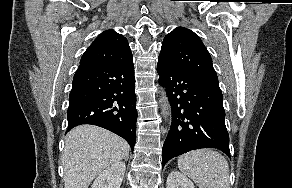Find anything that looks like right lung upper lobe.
I'll list each match as a JSON object with an SVG mask.
<instances>
[{
	"instance_id": "right-lung-upper-lobe-1",
	"label": "right lung upper lobe",
	"mask_w": 292,
	"mask_h": 188,
	"mask_svg": "<svg viewBox=\"0 0 292 188\" xmlns=\"http://www.w3.org/2000/svg\"><path fill=\"white\" fill-rule=\"evenodd\" d=\"M131 59L133 57L127 39L114 30H107L96 37L80 63H123Z\"/></svg>"
}]
</instances>
